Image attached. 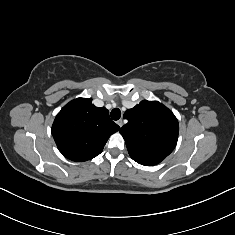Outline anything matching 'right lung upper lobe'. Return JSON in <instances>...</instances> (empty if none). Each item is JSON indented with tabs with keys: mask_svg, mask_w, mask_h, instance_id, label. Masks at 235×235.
Returning a JSON list of instances; mask_svg holds the SVG:
<instances>
[{
	"mask_svg": "<svg viewBox=\"0 0 235 235\" xmlns=\"http://www.w3.org/2000/svg\"><path fill=\"white\" fill-rule=\"evenodd\" d=\"M119 129L106 108L94 106L92 99L77 98L57 114L52 135L59 151L79 162L99 155L108 138Z\"/></svg>",
	"mask_w": 235,
	"mask_h": 235,
	"instance_id": "right-lung-upper-lobe-1",
	"label": "right lung upper lobe"
}]
</instances>
